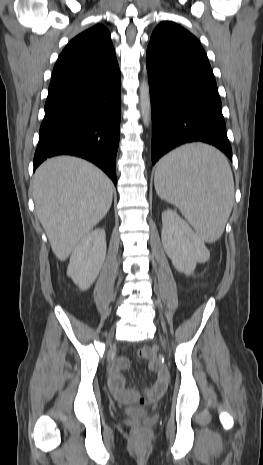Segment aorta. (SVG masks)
Here are the masks:
<instances>
[{
  "mask_svg": "<svg viewBox=\"0 0 263 465\" xmlns=\"http://www.w3.org/2000/svg\"><path fill=\"white\" fill-rule=\"evenodd\" d=\"M140 109L142 113V119L145 126H149L151 121V102H150V94H149V84L148 80L143 78L141 81L140 89Z\"/></svg>",
  "mask_w": 263,
  "mask_h": 465,
  "instance_id": "obj_1",
  "label": "aorta"
}]
</instances>
